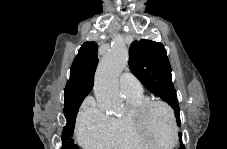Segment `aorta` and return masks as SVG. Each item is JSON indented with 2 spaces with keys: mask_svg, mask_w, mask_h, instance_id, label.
I'll return each instance as SVG.
<instances>
[{
  "mask_svg": "<svg viewBox=\"0 0 227 149\" xmlns=\"http://www.w3.org/2000/svg\"><path fill=\"white\" fill-rule=\"evenodd\" d=\"M128 64V50L123 43H115L100 61L95 75L94 95L99 108L114 114L121 107L118 79Z\"/></svg>",
  "mask_w": 227,
  "mask_h": 149,
  "instance_id": "aorta-1",
  "label": "aorta"
}]
</instances>
